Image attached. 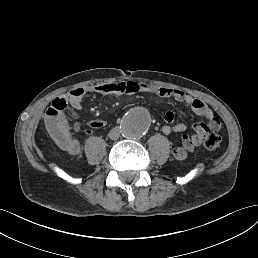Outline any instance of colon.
I'll list each match as a JSON object with an SVG mask.
<instances>
[{
    "instance_id": "obj_1",
    "label": "colon",
    "mask_w": 258,
    "mask_h": 258,
    "mask_svg": "<svg viewBox=\"0 0 258 258\" xmlns=\"http://www.w3.org/2000/svg\"><path fill=\"white\" fill-rule=\"evenodd\" d=\"M220 143H221V137L216 131L211 130L206 133L204 137L203 145L207 149L216 150L220 147Z\"/></svg>"
}]
</instances>
